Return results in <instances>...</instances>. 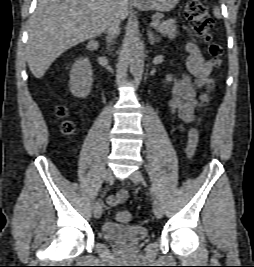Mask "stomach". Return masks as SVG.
<instances>
[{"label":"stomach","mask_w":254,"mask_h":267,"mask_svg":"<svg viewBox=\"0 0 254 267\" xmlns=\"http://www.w3.org/2000/svg\"><path fill=\"white\" fill-rule=\"evenodd\" d=\"M178 2L179 0H141L135 6L145 11L169 12L176 7Z\"/></svg>","instance_id":"1"}]
</instances>
